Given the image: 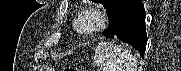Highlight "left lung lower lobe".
<instances>
[{
    "mask_svg": "<svg viewBox=\"0 0 181 71\" xmlns=\"http://www.w3.org/2000/svg\"><path fill=\"white\" fill-rule=\"evenodd\" d=\"M109 27L104 32L108 38H118L136 48L144 56L147 35L145 10L141 0H116L107 12Z\"/></svg>",
    "mask_w": 181,
    "mask_h": 71,
    "instance_id": "left-lung-lower-lobe-1",
    "label": "left lung lower lobe"
}]
</instances>
